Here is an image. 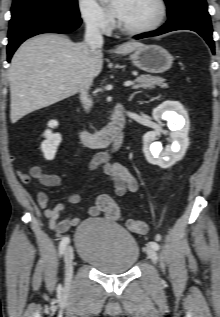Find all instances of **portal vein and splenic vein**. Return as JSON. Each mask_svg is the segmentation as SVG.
<instances>
[{
  "label": "portal vein and splenic vein",
  "mask_w": 220,
  "mask_h": 317,
  "mask_svg": "<svg viewBox=\"0 0 220 317\" xmlns=\"http://www.w3.org/2000/svg\"><path fill=\"white\" fill-rule=\"evenodd\" d=\"M133 85V82L132 81H126L125 83H124V86L125 87H129V86H132Z\"/></svg>",
  "instance_id": "portal-vein-and-splenic-vein-1"
}]
</instances>
